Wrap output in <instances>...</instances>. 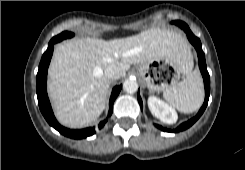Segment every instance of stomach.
Returning <instances> with one entry per match:
<instances>
[{
    "label": "stomach",
    "instance_id": "0dacf381",
    "mask_svg": "<svg viewBox=\"0 0 245 170\" xmlns=\"http://www.w3.org/2000/svg\"><path fill=\"white\" fill-rule=\"evenodd\" d=\"M136 73L151 92H164L177 83L181 69L171 58H163L139 64Z\"/></svg>",
    "mask_w": 245,
    "mask_h": 170
}]
</instances>
